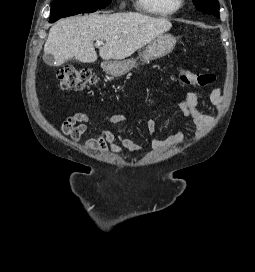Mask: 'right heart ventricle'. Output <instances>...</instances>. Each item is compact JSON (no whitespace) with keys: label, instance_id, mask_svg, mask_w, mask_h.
<instances>
[{"label":"right heart ventricle","instance_id":"e07e8e85","mask_svg":"<svg viewBox=\"0 0 255 272\" xmlns=\"http://www.w3.org/2000/svg\"><path fill=\"white\" fill-rule=\"evenodd\" d=\"M135 5L139 11L156 16H170L179 10L172 0H136Z\"/></svg>","mask_w":255,"mask_h":272}]
</instances>
